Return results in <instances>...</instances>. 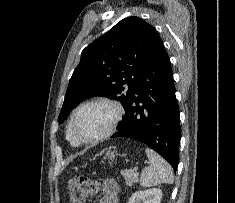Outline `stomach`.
I'll return each mask as SVG.
<instances>
[{
	"mask_svg": "<svg viewBox=\"0 0 235 203\" xmlns=\"http://www.w3.org/2000/svg\"><path fill=\"white\" fill-rule=\"evenodd\" d=\"M106 158L113 160L115 158V154L113 152H108L106 153Z\"/></svg>",
	"mask_w": 235,
	"mask_h": 203,
	"instance_id": "0dacf381",
	"label": "stomach"
}]
</instances>
